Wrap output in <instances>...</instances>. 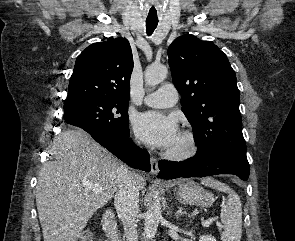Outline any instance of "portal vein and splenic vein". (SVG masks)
I'll use <instances>...</instances> for the list:
<instances>
[{
  "label": "portal vein and splenic vein",
  "instance_id": "18ae733b",
  "mask_svg": "<svg viewBox=\"0 0 295 241\" xmlns=\"http://www.w3.org/2000/svg\"><path fill=\"white\" fill-rule=\"evenodd\" d=\"M87 187L89 189H92L93 191H96V192H103V188L97 184H86ZM214 219H209V220H205L202 222V226L203 227H208L212 222H213Z\"/></svg>",
  "mask_w": 295,
  "mask_h": 241
}]
</instances>
